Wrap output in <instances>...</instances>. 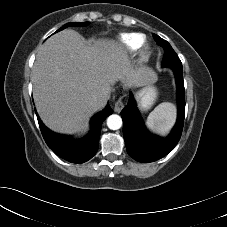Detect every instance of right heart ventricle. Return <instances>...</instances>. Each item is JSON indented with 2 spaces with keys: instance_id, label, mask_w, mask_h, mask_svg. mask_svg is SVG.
<instances>
[{
  "instance_id": "obj_1",
  "label": "right heart ventricle",
  "mask_w": 227,
  "mask_h": 227,
  "mask_svg": "<svg viewBox=\"0 0 227 227\" xmlns=\"http://www.w3.org/2000/svg\"><path fill=\"white\" fill-rule=\"evenodd\" d=\"M144 43V36L140 33H125L120 37V44L129 52H135Z\"/></svg>"
}]
</instances>
